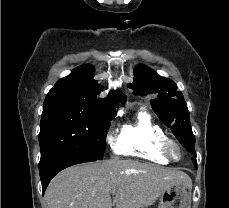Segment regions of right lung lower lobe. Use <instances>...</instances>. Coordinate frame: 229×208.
<instances>
[{"label":"right lung lower lobe","mask_w":229,"mask_h":208,"mask_svg":"<svg viewBox=\"0 0 229 208\" xmlns=\"http://www.w3.org/2000/svg\"><path fill=\"white\" fill-rule=\"evenodd\" d=\"M97 159L77 153H63L55 156L51 161L39 166L43 193L51 179L61 170L79 163L96 161Z\"/></svg>","instance_id":"1"}]
</instances>
